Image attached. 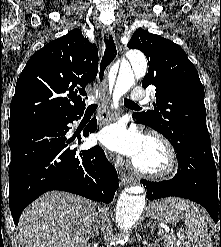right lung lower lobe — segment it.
<instances>
[{"mask_svg": "<svg viewBox=\"0 0 221 247\" xmlns=\"http://www.w3.org/2000/svg\"><path fill=\"white\" fill-rule=\"evenodd\" d=\"M78 119L75 116L62 122L9 126V205L16 225L24 208L47 191L71 192L104 203L113 200L119 186L118 176L103 149L94 146L77 151L70 148L72 140L65 137L69 131L67 124ZM96 129L94 118L84 136ZM76 143L81 144V139Z\"/></svg>", "mask_w": 221, "mask_h": 247, "instance_id": "1", "label": "right lung lower lobe"}]
</instances>
